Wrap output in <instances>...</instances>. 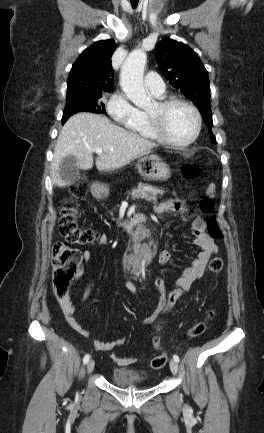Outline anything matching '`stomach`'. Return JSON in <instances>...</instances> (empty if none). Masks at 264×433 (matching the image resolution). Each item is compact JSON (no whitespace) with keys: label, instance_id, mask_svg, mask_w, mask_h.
<instances>
[{"label":"stomach","instance_id":"stomach-1","mask_svg":"<svg viewBox=\"0 0 264 433\" xmlns=\"http://www.w3.org/2000/svg\"><path fill=\"white\" fill-rule=\"evenodd\" d=\"M136 166L139 174L149 181H166L171 176L169 166L157 155H143ZM98 190L101 193L108 192L106 187L100 185Z\"/></svg>","mask_w":264,"mask_h":433}]
</instances>
